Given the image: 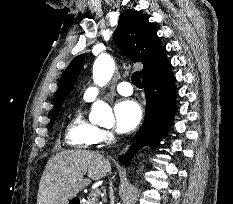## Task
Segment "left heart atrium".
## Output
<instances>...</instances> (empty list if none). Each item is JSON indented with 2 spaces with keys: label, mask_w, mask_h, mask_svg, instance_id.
<instances>
[{
  "label": "left heart atrium",
  "mask_w": 233,
  "mask_h": 204,
  "mask_svg": "<svg viewBox=\"0 0 233 204\" xmlns=\"http://www.w3.org/2000/svg\"><path fill=\"white\" fill-rule=\"evenodd\" d=\"M116 129L120 133L134 130L142 119V109L134 100H121L114 107Z\"/></svg>",
  "instance_id": "obj_1"
}]
</instances>
